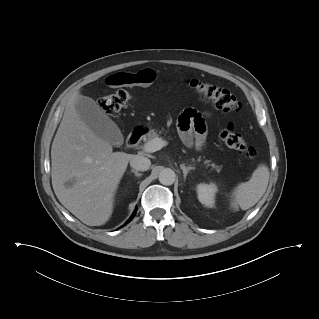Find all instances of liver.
Returning <instances> with one entry per match:
<instances>
[{"label": "liver", "mask_w": 319, "mask_h": 319, "mask_svg": "<svg viewBox=\"0 0 319 319\" xmlns=\"http://www.w3.org/2000/svg\"><path fill=\"white\" fill-rule=\"evenodd\" d=\"M75 92L68 100L51 147L53 190L60 203L89 226L105 224L112 215L114 195L133 155L113 152L81 120ZM74 179L72 186L65 183Z\"/></svg>", "instance_id": "1"}]
</instances>
